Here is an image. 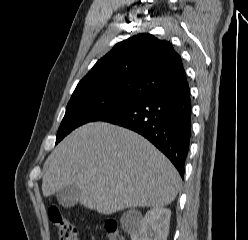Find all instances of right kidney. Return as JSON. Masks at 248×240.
<instances>
[{
  "label": "right kidney",
  "mask_w": 248,
  "mask_h": 240,
  "mask_svg": "<svg viewBox=\"0 0 248 240\" xmlns=\"http://www.w3.org/2000/svg\"><path fill=\"white\" fill-rule=\"evenodd\" d=\"M171 210L154 207L129 228L131 240H167Z\"/></svg>",
  "instance_id": "obj_1"
}]
</instances>
